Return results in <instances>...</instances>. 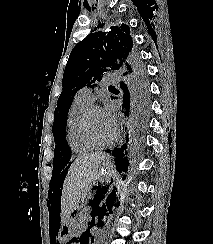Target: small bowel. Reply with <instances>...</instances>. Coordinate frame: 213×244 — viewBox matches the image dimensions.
Segmentation results:
<instances>
[{
  "mask_svg": "<svg viewBox=\"0 0 213 244\" xmlns=\"http://www.w3.org/2000/svg\"><path fill=\"white\" fill-rule=\"evenodd\" d=\"M71 244H79V243H77V242H73V243H71Z\"/></svg>",
  "mask_w": 213,
  "mask_h": 244,
  "instance_id": "c3829d8e",
  "label": "small bowel"
}]
</instances>
